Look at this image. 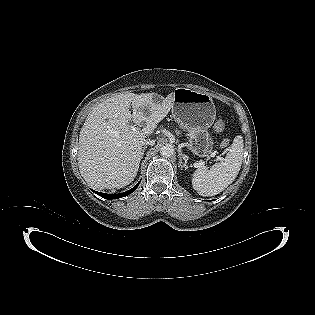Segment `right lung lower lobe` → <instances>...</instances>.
<instances>
[{
  "label": "right lung lower lobe",
  "instance_id": "right-lung-lower-lobe-1",
  "mask_svg": "<svg viewBox=\"0 0 315 315\" xmlns=\"http://www.w3.org/2000/svg\"><path fill=\"white\" fill-rule=\"evenodd\" d=\"M139 183L135 187L131 188L130 190L123 192V193H120V194H105V193H100V192H96V191H95V193L100 195L101 197H103L105 199H108V200L117 199V198L125 197V196L131 194L138 187Z\"/></svg>",
  "mask_w": 315,
  "mask_h": 315
}]
</instances>
